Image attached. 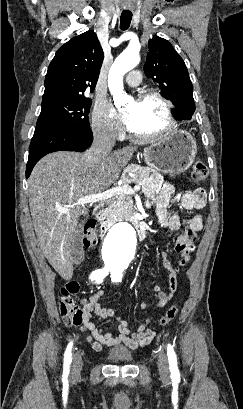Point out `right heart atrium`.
<instances>
[{
  "mask_svg": "<svg viewBox=\"0 0 243 409\" xmlns=\"http://www.w3.org/2000/svg\"><path fill=\"white\" fill-rule=\"evenodd\" d=\"M91 130L94 137L102 142L112 143L120 137V130L108 113L105 103H97L91 117Z\"/></svg>",
  "mask_w": 243,
  "mask_h": 409,
  "instance_id": "1",
  "label": "right heart atrium"
}]
</instances>
